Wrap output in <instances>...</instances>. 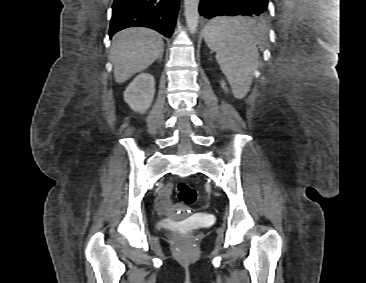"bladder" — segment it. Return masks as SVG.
<instances>
[{"instance_id": "obj_1", "label": "bladder", "mask_w": 366, "mask_h": 283, "mask_svg": "<svg viewBox=\"0 0 366 283\" xmlns=\"http://www.w3.org/2000/svg\"><path fill=\"white\" fill-rule=\"evenodd\" d=\"M160 228H168L169 227V223L165 220H162L158 223Z\"/></svg>"}]
</instances>
